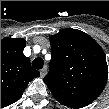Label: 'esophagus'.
Wrapping results in <instances>:
<instances>
[{
    "instance_id": "1",
    "label": "esophagus",
    "mask_w": 109,
    "mask_h": 109,
    "mask_svg": "<svg viewBox=\"0 0 109 109\" xmlns=\"http://www.w3.org/2000/svg\"><path fill=\"white\" fill-rule=\"evenodd\" d=\"M46 73H47V68H46V67H44V68H42V69L40 70V76H41V77H44Z\"/></svg>"
}]
</instances>
